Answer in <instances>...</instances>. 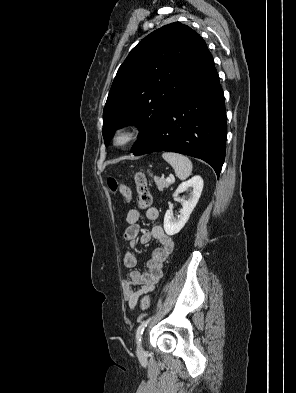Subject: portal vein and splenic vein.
<instances>
[{
  "instance_id": "portal-vein-and-splenic-vein-1",
  "label": "portal vein and splenic vein",
  "mask_w": 296,
  "mask_h": 393,
  "mask_svg": "<svg viewBox=\"0 0 296 393\" xmlns=\"http://www.w3.org/2000/svg\"><path fill=\"white\" fill-rule=\"evenodd\" d=\"M166 180H167L168 182H172V181H173V179H172V178H170V177H169V178H167Z\"/></svg>"
}]
</instances>
